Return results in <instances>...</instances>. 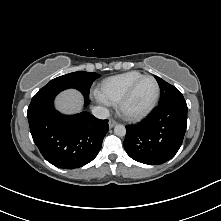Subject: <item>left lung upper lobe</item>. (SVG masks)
I'll list each match as a JSON object with an SVG mask.
<instances>
[{
    "mask_svg": "<svg viewBox=\"0 0 221 221\" xmlns=\"http://www.w3.org/2000/svg\"><path fill=\"white\" fill-rule=\"evenodd\" d=\"M155 78L159 84L161 91L159 105L173 100L184 99L182 93L176 87L170 85L169 83L157 76H155Z\"/></svg>",
    "mask_w": 221,
    "mask_h": 221,
    "instance_id": "1",
    "label": "left lung upper lobe"
}]
</instances>
